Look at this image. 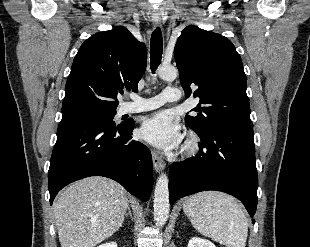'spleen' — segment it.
Returning a JSON list of instances; mask_svg holds the SVG:
<instances>
[{"instance_id": "spleen-1", "label": "spleen", "mask_w": 310, "mask_h": 247, "mask_svg": "<svg viewBox=\"0 0 310 247\" xmlns=\"http://www.w3.org/2000/svg\"><path fill=\"white\" fill-rule=\"evenodd\" d=\"M183 211L203 236L227 247H245L248 221L232 196L223 192H200L184 202Z\"/></svg>"}]
</instances>
